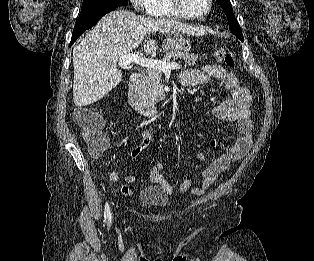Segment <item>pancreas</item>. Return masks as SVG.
Returning <instances> with one entry per match:
<instances>
[{"mask_svg":"<svg viewBox=\"0 0 314 261\" xmlns=\"http://www.w3.org/2000/svg\"><path fill=\"white\" fill-rule=\"evenodd\" d=\"M166 51L163 61L173 60H184L186 67H191L196 65L199 61L197 54L183 53L174 49H167L164 45ZM143 96L151 103H158L165 98L164 88L162 84V71L154 68H148L144 76L143 83Z\"/></svg>","mask_w":314,"mask_h":261,"instance_id":"1","label":"pancreas"}]
</instances>
